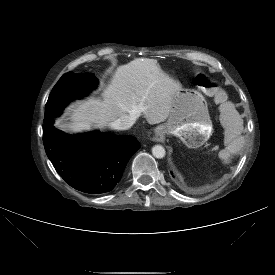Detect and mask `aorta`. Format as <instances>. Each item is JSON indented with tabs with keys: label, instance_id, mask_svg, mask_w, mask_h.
<instances>
[{
	"label": "aorta",
	"instance_id": "762f6f07",
	"mask_svg": "<svg viewBox=\"0 0 275 275\" xmlns=\"http://www.w3.org/2000/svg\"><path fill=\"white\" fill-rule=\"evenodd\" d=\"M152 154L155 158L161 159V158L165 157L166 151L163 146L155 145L152 148Z\"/></svg>",
	"mask_w": 275,
	"mask_h": 275
}]
</instances>
